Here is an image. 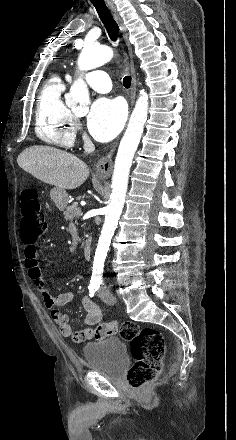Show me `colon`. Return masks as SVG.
<instances>
[{"label":"colon","instance_id":"colon-1","mask_svg":"<svg viewBox=\"0 0 236 440\" xmlns=\"http://www.w3.org/2000/svg\"><path fill=\"white\" fill-rule=\"evenodd\" d=\"M20 227L22 240L30 244L47 231L41 201L37 192L30 188L21 193ZM113 331L131 344L134 364L127 374L128 385L138 389L156 379L162 370L165 352L161 333L154 328H141L133 322H125Z\"/></svg>","mask_w":236,"mask_h":440}]
</instances>
